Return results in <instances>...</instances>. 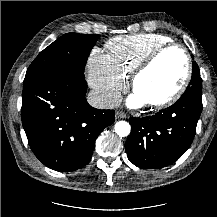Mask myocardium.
<instances>
[{
  "label": "myocardium",
  "instance_id": "obj_1",
  "mask_svg": "<svg viewBox=\"0 0 217 217\" xmlns=\"http://www.w3.org/2000/svg\"><path fill=\"white\" fill-rule=\"evenodd\" d=\"M171 50H178L183 54L186 62L185 75L178 88L172 94L160 100L145 102V104L149 107L160 109L175 103L184 95L192 79V59L187 49L180 44L169 43L153 50L134 69L133 73L131 74V89L135 92V87L139 78L150 68V66L158 59L160 55Z\"/></svg>",
  "mask_w": 217,
  "mask_h": 217
}]
</instances>
